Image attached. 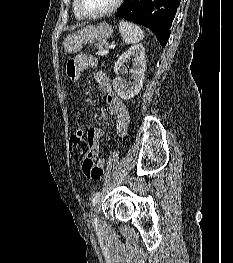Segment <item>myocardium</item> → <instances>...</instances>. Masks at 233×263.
Wrapping results in <instances>:
<instances>
[{"mask_svg": "<svg viewBox=\"0 0 233 263\" xmlns=\"http://www.w3.org/2000/svg\"><path fill=\"white\" fill-rule=\"evenodd\" d=\"M123 1L124 0H115L109 8L101 12L94 13V14L87 13L83 10L82 5H81V0H76V8L82 17L88 18V19H98V18L105 17L115 12L121 6Z\"/></svg>", "mask_w": 233, "mask_h": 263, "instance_id": "1", "label": "myocardium"}]
</instances>
